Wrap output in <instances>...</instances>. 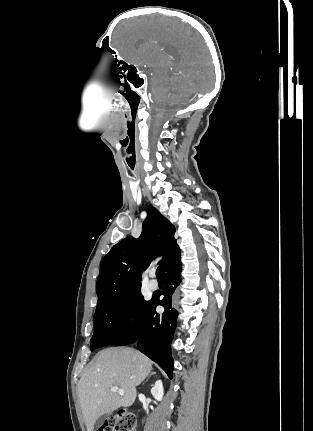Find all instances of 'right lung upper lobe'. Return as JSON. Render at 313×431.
Instances as JSON below:
<instances>
[{"mask_svg":"<svg viewBox=\"0 0 313 431\" xmlns=\"http://www.w3.org/2000/svg\"><path fill=\"white\" fill-rule=\"evenodd\" d=\"M175 227L156 208H151L138 239L131 236L114 245L100 267L96 291L98 303L141 287L140 266L146 269L160 255L164 270L180 253Z\"/></svg>","mask_w":313,"mask_h":431,"instance_id":"1","label":"right lung upper lobe"}]
</instances>
